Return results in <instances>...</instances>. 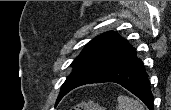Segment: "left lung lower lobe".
I'll return each mask as SVG.
<instances>
[{"instance_id": "left-lung-lower-lobe-1", "label": "left lung lower lobe", "mask_w": 171, "mask_h": 110, "mask_svg": "<svg viewBox=\"0 0 171 110\" xmlns=\"http://www.w3.org/2000/svg\"><path fill=\"white\" fill-rule=\"evenodd\" d=\"M147 76L142 61L134 54L121 64L105 71L85 84L104 82L118 83L141 99L149 110H153V95Z\"/></svg>"}]
</instances>
